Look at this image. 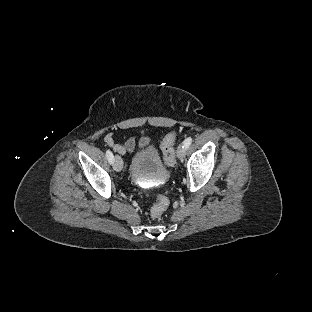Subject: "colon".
Returning a JSON list of instances; mask_svg holds the SVG:
<instances>
[{
    "label": "colon",
    "instance_id": "colon-1",
    "mask_svg": "<svg viewBox=\"0 0 312 312\" xmlns=\"http://www.w3.org/2000/svg\"><path fill=\"white\" fill-rule=\"evenodd\" d=\"M177 138L175 130H169L161 141V150L163 153V160L166 166L173 167L176 164L174 145ZM168 203V199L162 195H156V202L152 207V214L158 215L164 211Z\"/></svg>",
    "mask_w": 312,
    "mask_h": 312
}]
</instances>
